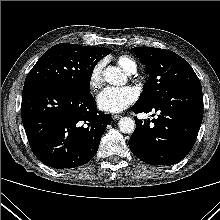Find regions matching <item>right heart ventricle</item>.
<instances>
[{
  "label": "right heart ventricle",
  "mask_w": 220,
  "mask_h": 220,
  "mask_svg": "<svg viewBox=\"0 0 220 220\" xmlns=\"http://www.w3.org/2000/svg\"><path fill=\"white\" fill-rule=\"evenodd\" d=\"M118 64L128 73L136 70V62L135 60L128 55H121L117 58Z\"/></svg>",
  "instance_id": "e07e8e85"
}]
</instances>
